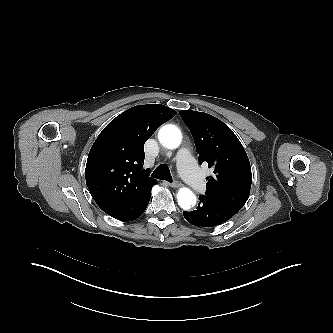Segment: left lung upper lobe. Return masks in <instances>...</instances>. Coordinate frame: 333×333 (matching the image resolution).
<instances>
[{
	"mask_svg": "<svg viewBox=\"0 0 333 333\" xmlns=\"http://www.w3.org/2000/svg\"><path fill=\"white\" fill-rule=\"evenodd\" d=\"M190 129L199 163L206 162L214 174L206 178L205 197L233 213L246 203L252 183L247 154L232 130L221 120L203 112L180 111Z\"/></svg>",
	"mask_w": 333,
	"mask_h": 333,
	"instance_id": "obj_1",
	"label": "left lung upper lobe"
}]
</instances>
